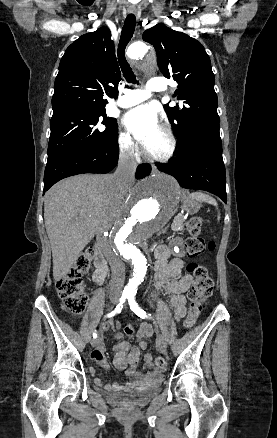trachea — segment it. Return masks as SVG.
I'll list each match as a JSON object with an SVG mask.
<instances>
[{
    "instance_id": "obj_1",
    "label": "trachea",
    "mask_w": 277,
    "mask_h": 438,
    "mask_svg": "<svg viewBox=\"0 0 277 438\" xmlns=\"http://www.w3.org/2000/svg\"><path fill=\"white\" fill-rule=\"evenodd\" d=\"M136 26V17L134 14L130 13L127 15L124 26L122 28L119 45L117 49V56L119 60V65L123 72V76L129 83L138 84L136 76L134 75L132 68L125 58V48L133 37L134 30Z\"/></svg>"
}]
</instances>
